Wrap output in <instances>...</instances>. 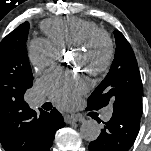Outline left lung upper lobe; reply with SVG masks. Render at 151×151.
<instances>
[{"label":"left lung upper lobe","mask_w":151,"mask_h":151,"mask_svg":"<svg viewBox=\"0 0 151 151\" xmlns=\"http://www.w3.org/2000/svg\"><path fill=\"white\" fill-rule=\"evenodd\" d=\"M116 51L109 73L88 99V108L112 105L113 115L125 119L142 115V81L134 52L124 35L115 30Z\"/></svg>","instance_id":"1"}]
</instances>
